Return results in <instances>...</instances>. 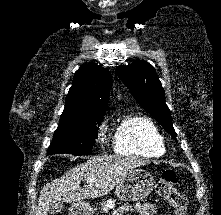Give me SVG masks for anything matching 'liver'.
I'll return each mask as SVG.
<instances>
[{"label": "liver", "instance_id": "liver-1", "mask_svg": "<svg viewBox=\"0 0 221 215\" xmlns=\"http://www.w3.org/2000/svg\"><path fill=\"white\" fill-rule=\"evenodd\" d=\"M147 163L132 156L92 157L43 187L36 215H47L54 202L80 203L86 198L102 197L117 187L132 170ZM81 181L86 185L80 187Z\"/></svg>", "mask_w": 221, "mask_h": 215}]
</instances>
